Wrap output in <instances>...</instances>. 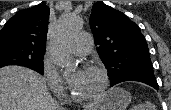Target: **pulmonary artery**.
Masks as SVG:
<instances>
[{"instance_id": "e3ab8cb5", "label": "pulmonary artery", "mask_w": 171, "mask_h": 110, "mask_svg": "<svg viewBox=\"0 0 171 110\" xmlns=\"http://www.w3.org/2000/svg\"><path fill=\"white\" fill-rule=\"evenodd\" d=\"M93 46L92 38L87 33L77 34L71 42V49L75 54L85 55L88 54Z\"/></svg>"}]
</instances>
